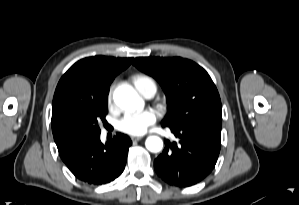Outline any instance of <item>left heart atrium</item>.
<instances>
[{"label":"left heart atrium","mask_w":299,"mask_h":205,"mask_svg":"<svg viewBox=\"0 0 299 205\" xmlns=\"http://www.w3.org/2000/svg\"><path fill=\"white\" fill-rule=\"evenodd\" d=\"M156 122V114L151 110L126 114L119 122L118 129L131 135H142Z\"/></svg>","instance_id":"obj_1"}]
</instances>
